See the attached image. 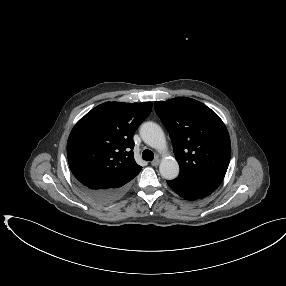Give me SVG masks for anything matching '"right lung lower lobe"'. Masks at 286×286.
Returning a JSON list of instances; mask_svg holds the SVG:
<instances>
[{"instance_id": "right-lung-lower-lobe-1", "label": "right lung lower lobe", "mask_w": 286, "mask_h": 286, "mask_svg": "<svg viewBox=\"0 0 286 286\" xmlns=\"http://www.w3.org/2000/svg\"><path fill=\"white\" fill-rule=\"evenodd\" d=\"M80 189L91 199L100 202L107 203L120 198L128 189V184L120 187H106L101 189L92 188L88 185H83L78 182Z\"/></svg>"}]
</instances>
